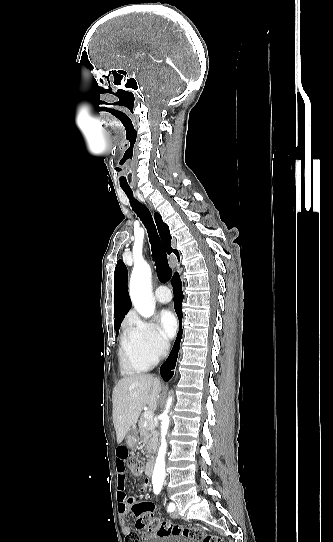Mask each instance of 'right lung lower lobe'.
I'll use <instances>...</instances> for the list:
<instances>
[{
	"instance_id": "obj_1",
	"label": "right lung lower lobe",
	"mask_w": 333,
	"mask_h": 542,
	"mask_svg": "<svg viewBox=\"0 0 333 542\" xmlns=\"http://www.w3.org/2000/svg\"><path fill=\"white\" fill-rule=\"evenodd\" d=\"M179 258V256H178ZM172 286H173V292H174V305H175V311L177 313V316L179 318V321L181 322L182 319V300H183V293H182V283L180 280V277L178 273H175L172 279ZM182 336V329L180 325L179 333L177 335L176 341L174 343V346L172 348V351L167 358L166 362L163 363V365L160 368L161 376L165 381H168L172 375L178 355V350L180 346V340Z\"/></svg>"
}]
</instances>
